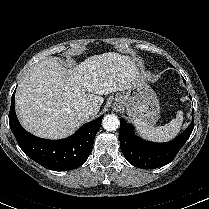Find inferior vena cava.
<instances>
[{
    "label": "inferior vena cava",
    "mask_w": 209,
    "mask_h": 209,
    "mask_svg": "<svg viewBox=\"0 0 209 209\" xmlns=\"http://www.w3.org/2000/svg\"><path fill=\"white\" fill-rule=\"evenodd\" d=\"M85 113H86V115H88V116H91V115H94V114H96L97 113V110H96V108H94L93 106H87L86 108H85Z\"/></svg>",
    "instance_id": "1"
}]
</instances>
